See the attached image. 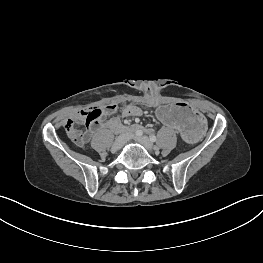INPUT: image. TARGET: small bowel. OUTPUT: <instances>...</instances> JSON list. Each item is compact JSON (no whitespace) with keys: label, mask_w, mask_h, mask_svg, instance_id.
<instances>
[{"label":"small bowel","mask_w":263,"mask_h":263,"mask_svg":"<svg viewBox=\"0 0 263 263\" xmlns=\"http://www.w3.org/2000/svg\"><path fill=\"white\" fill-rule=\"evenodd\" d=\"M117 111H120L121 114L124 117L140 116L142 114V110L139 107H137L135 105H131V104L130 105H125V106H122V107H119L118 105H116L115 109L110 114H114ZM81 113L82 112L78 113L75 116V118H80Z\"/></svg>","instance_id":"small-bowel-1"}]
</instances>
